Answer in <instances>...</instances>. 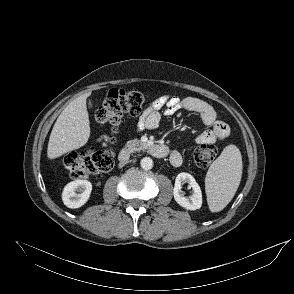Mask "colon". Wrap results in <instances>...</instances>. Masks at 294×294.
I'll use <instances>...</instances> for the list:
<instances>
[{
  "label": "colon",
  "instance_id": "5ec220e1",
  "mask_svg": "<svg viewBox=\"0 0 294 294\" xmlns=\"http://www.w3.org/2000/svg\"><path fill=\"white\" fill-rule=\"evenodd\" d=\"M144 102L145 97L140 92L112 89L97 109L96 120L115 130L124 115L138 116ZM193 156L197 166L205 169L215 160L217 149L212 143H202L195 149ZM64 165L72 179L81 180L110 171L113 167V155L109 148L72 152L65 156Z\"/></svg>",
  "mask_w": 294,
  "mask_h": 294
}]
</instances>
